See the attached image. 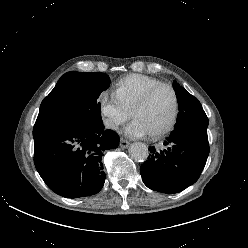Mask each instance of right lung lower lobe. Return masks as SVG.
<instances>
[{"label": "right lung lower lobe", "mask_w": 248, "mask_h": 248, "mask_svg": "<svg viewBox=\"0 0 248 248\" xmlns=\"http://www.w3.org/2000/svg\"><path fill=\"white\" fill-rule=\"evenodd\" d=\"M34 164L56 194L79 198L98 193L105 182L102 156L117 148L119 137L103 123L56 125L38 123L33 128Z\"/></svg>", "instance_id": "1"}]
</instances>
